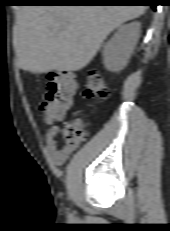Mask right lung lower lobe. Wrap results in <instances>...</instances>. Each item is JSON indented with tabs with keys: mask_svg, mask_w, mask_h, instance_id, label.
<instances>
[{
	"mask_svg": "<svg viewBox=\"0 0 170 231\" xmlns=\"http://www.w3.org/2000/svg\"><path fill=\"white\" fill-rule=\"evenodd\" d=\"M158 0H27L29 5H149L155 8Z\"/></svg>",
	"mask_w": 170,
	"mask_h": 231,
	"instance_id": "1",
	"label": "right lung lower lobe"
}]
</instances>
